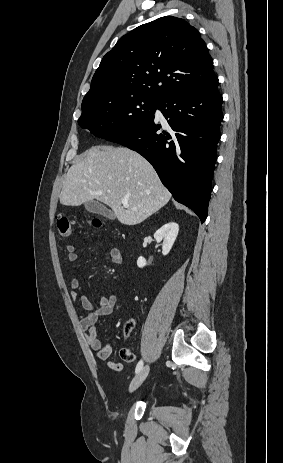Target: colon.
Masks as SVG:
<instances>
[{
    "mask_svg": "<svg viewBox=\"0 0 283 463\" xmlns=\"http://www.w3.org/2000/svg\"><path fill=\"white\" fill-rule=\"evenodd\" d=\"M90 225L98 228L101 226V221L98 219H92L89 221ZM58 232L62 237H69L72 234V223L67 217H61L57 221ZM130 328L128 325L127 330ZM121 357L127 362H131L135 359V354L129 348L121 349Z\"/></svg>",
    "mask_w": 283,
    "mask_h": 463,
    "instance_id": "1",
    "label": "colon"
}]
</instances>
